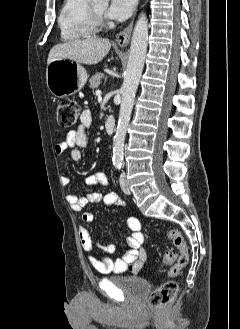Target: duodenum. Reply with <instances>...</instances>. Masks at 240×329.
<instances>
[{"mask_svg": "<svg viewBox=\"0 0 240 329\" xmlns=\"http://www.w3.org/2000/svg\"><path fill=\"white\" fill-rule=\"evenodd\" d=\"M115 129V119L113 116L108 115L105 120V131L108 135H112Z\"/></svg>", "mask_w": 240, "mask_h": 329, "instance_id": "410a0bca", "label": "duodenum"}]
</instances>
